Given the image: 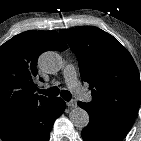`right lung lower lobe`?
Segmentation results:
<instances>
[{"label":"right lung lower lobe","instance_id":"98d812e1","mask_svg":"<svg viewBox=\"0 0 141 141\" xmlns=\"http://www.w3.org/2000/svg\"><path fill=\"white\" fill-rule=\"evenodd\" d=\"M64 109L61 98H52L45 105L14 114L0 125V137L3 141H48L54 121Z\"/></svg>","mask_w":141,"mask_h":141}]
</instances>
